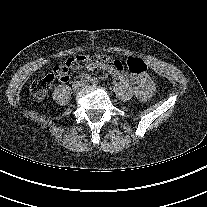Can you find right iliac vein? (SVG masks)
Segmentation results:
<instances>
[{"label": "right iliac vein", "mask_w": 207, "mask_h": 207, "mask_svg": "<svg viewBox=\"0 0 207 207\" xmlns=\"http://www.w3.org/2000/svg\"><path fill=\"white\" fill-rule=\"evenodd\" d=\"M81 87V84L80 83H76L74 86H73V89L74 91H78Z\"/></svg>", "instance_id": "right-iliac-vein-1"}]
</instances>
